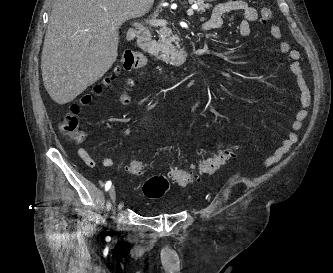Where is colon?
I'll list each match as a JSON object with an SVG mask.
<instances>
[{"label": "colon", "mask_w": 333, "mask_h": 273, "mask_svg": "<svg viewBox=\"0 0 333 273\" xmlns=\"http://www.w3.org/2000/svg\"><path fill=\"white\" fill-rule=\"evenodd\" d=\"M260 20L262 23L269 22L273 17L271 8L264 7L260 12ZM147 64L146 57L139 52L125 51L119 60V63L114 68L111 75L107 76L102 83L94 86L92 93L85 94L78 103L70 106V110L61 123L62 133L74 140L79 141L83 138V132L80 127L79 113L81 105L88 104L92 99V94H98L104 87L114 79L117 72L120 70H131L141 68ZM237 146L232 145L221 151L214 156L201 162L197 170H181L173 169L170 172V178L180 186H187L192 182L198 180L201 174H213L228 160L235 155ZM146 168L144 161L134 159L126 164V171L131 178H138L143 175ZM169 188V180L163 175H154L148 178L142 185V193L145 197L150 199L162 197Z\"/></svg>", "instance_id": "5ec220e1"}]
</instances>
